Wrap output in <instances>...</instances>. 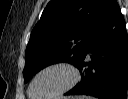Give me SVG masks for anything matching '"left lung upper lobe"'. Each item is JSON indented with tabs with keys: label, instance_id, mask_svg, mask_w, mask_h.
I'll use <instances>...</instances> for the list:
<instances>
[{
	"label": "left lung upper lobe",
	"instance_id": "1",
	"mask_svg": "<svg viewBox=\"0 0 128 99\" xmlns=\"http://www.w3.org/2000/svg\"><path fill=\"white\" fill-rule=\"evenodd\" d=\"M108 0H51L31 32L25 52V82L48 65H76Z\"/></svg>",
	"mask_w": 128,
	"mask_h": 99
}]
</instances>
